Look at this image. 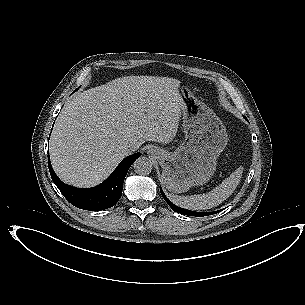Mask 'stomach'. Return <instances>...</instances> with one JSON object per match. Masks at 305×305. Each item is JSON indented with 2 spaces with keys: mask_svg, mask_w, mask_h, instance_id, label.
I'll list each match as a JSON object with an SVG mask.
<instances>
[{
  "mask_svg": "<svg viewBox=\"0 0 305 305\" xmlns=\"http://www.w3.org/2000/svg\"><path fill=\"white\" fill-rule=\"evenodd\" d=\"M177 95L185 138L174 152L157 148L154 156L163 169L162 180L166 189L172 193H184L212 178L217 158L228 137L219 117L189 89L181 86Z\"/></svg>",
  "mask_w": 305,
  "mask_h": 305,
  "instance_id": "0dacf381",
  "label": "stomach"
}]
</instances>
